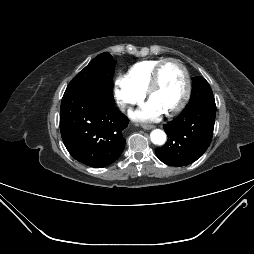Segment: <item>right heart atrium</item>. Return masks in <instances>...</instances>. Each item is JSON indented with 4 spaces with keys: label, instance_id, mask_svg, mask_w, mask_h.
Returning a JSON list of instances; mask_svg holds the SVG:
<instances>
[{
    "label": "right heart atrium",
    "instance_id": "obj_1",
    "mask_svg": "<svg viewBox=\"0 0 254 254\" xmlns=\"http://www.w3.org/2000/svg\"><path fill=\"white\" fill-rule=\"evenodd\" d=\"M114 96L119 108L126 110L140 102L145 93L138 89L127 75H119L115 79Z\"/></svg>",
    "mask_w": 254,
    "mask_h": 254
}]
</instances>
